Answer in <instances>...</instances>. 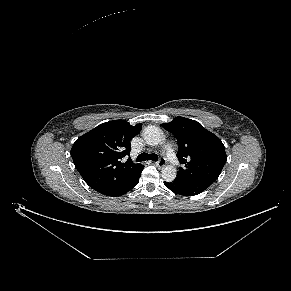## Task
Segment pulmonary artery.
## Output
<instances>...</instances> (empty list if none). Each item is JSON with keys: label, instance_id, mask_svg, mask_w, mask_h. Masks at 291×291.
<instances>
[{"label": "pulmonary artery", "instance_id": "obj_1", "mask_svg": "<svg viewBox=\"0 0 291 291\" xmlns=\"http://www.w3.org/2000/svg\"><path fill=\"white\" fill-rule=\"evenodd\" d=\"M166 157H167V160L173 164V165H177L178 164V160L173 152V149L170 145H167L166 148Z\"/></svg>", "mask_w": 291, "mask_h": 291}]
</instances>
